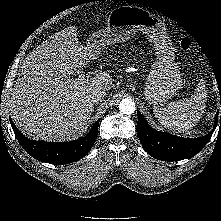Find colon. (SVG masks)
<instances>
[{
    "label": "colon",
    "mask_w": 221,
    "mask_h": 221,
    "mask_svg": "<svg viewBox=\"0 0 221 221\" xmlns=\"http://www.w3.org/2000/svg\"><path fill=\"white\" fill-rule=\"evenodd\" d=\"M180 47L182 50H189L191 48V40L189 38H183L180 41Z\"/></svg>",
    "instance_id": "colon-1"
}]
</instances>
